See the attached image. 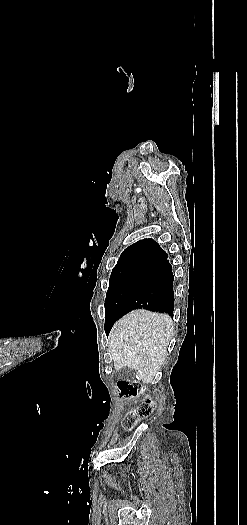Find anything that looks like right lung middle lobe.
Masks as SVG:
<instances>
[{
    "instance_id": "right-lung-middle-lobe-1",
    "label": "right lung middle lobe",
    "mask_w": 247,
    "mask_h": 525,
    "mask_svg": "<svg viewBox=\"0 0 247 525\" xmlns=\"http://www.w3.org/2000/svg\"><path fill=\"white\" fill-rule=\"evenodd\" d=\"M156 257L135 268L112 271L105 299V327H112L120 317L119 309L138 280L147 272Z\"/></svg>"
}]
</instances>
